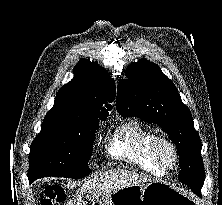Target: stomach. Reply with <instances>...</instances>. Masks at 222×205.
Listing matches in <instances>:
<instances>
[{
    "instance_id": "stomach-1",
    "label": "stomach",
    "mask_w": 222,
    "mask_h": 205,
    "mask_svg": "<svg viewBox=\"0 0 222 205\" xmlns=\"http://www.w3.org/2000/svg\"><path fill=\"white\" fill-rule=\"evenodd\" d=\"M93 205H198L194 196L164 181L132 185L95 200Z\"/></svg>"
}]
</instances>
